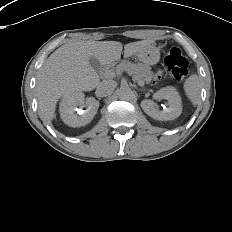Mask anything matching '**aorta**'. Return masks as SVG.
<instances>
[{
  "label": "aorta",
  "mask_w": 232,
  "mask_h": 232,
  "mask_svg": "<svg viewBox=\"0 0 232 232\" xmlns=\"http://www.w3.org/2000/svg\"><path fill=\"white\" fill-rule=\"evenodd\" d=\"M133 94L134 93L129 86H122L118 90V96L122 100H130L132 98Z\"/></svg>",
  "instance_id": "obj_1"
}]
</instances>
